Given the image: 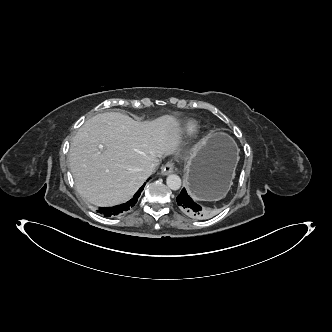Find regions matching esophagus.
<instances>
[{"instance_id": "esophagus-1", "label": "esophagus", "mask_w": 332, "mask_h": 332, "mask_svg": "<svg viewBox=\"0 0 332 332\" xmlns=\"http://www.w3.org/2000/svg\"><path fill=\"white\" fill-rule=\"evenodd\" d=\"M174 170H175V165H174V163H172V162H168V163H166V164L162 167L161 174H162L163 176H166V175H168V174L174 172Z\"/></svg>"}]
</instances>
